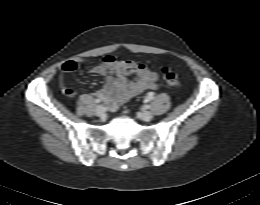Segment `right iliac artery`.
<instances>
[{
    "label": "right iliac artery",
    "instance_id": "82829eb1",
    "mask_svg": "<svg viewBox=\"0 0 260 205\" xmlns=\"http://www.w3.org/2000/svg\"><path fill=\"white\" fill-rule=\"evenodd\" d=\"M96 103H101L102 102V99L98 98L95 100Z\"/></svg>",
    "mask_w": 260,
    "mask_h": 205
}]
</instances>
